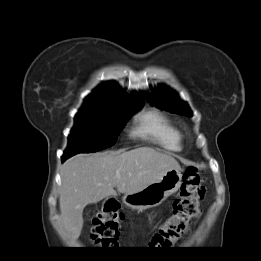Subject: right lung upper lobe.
Instances as JSON below:
<instances>
[{
	"label": "right lung upper lobe",
	"instance_id": "1",
	"mask_svg": "<svg viewBox=\"0 0 261 261\" xmlns=\"http://www.w3.org/2000/svg\"><path fill=\"white\" fill-rule=\"evenodd\" d=\"M137 92L130 95H120L119 87L116 83H104L96 88L85 100H105V99H115V100H126V101H143Z\"/></svg>",
	"mask_w": 261,
	"mask_h": 261
}]
</instances>
